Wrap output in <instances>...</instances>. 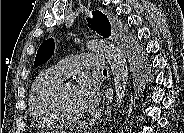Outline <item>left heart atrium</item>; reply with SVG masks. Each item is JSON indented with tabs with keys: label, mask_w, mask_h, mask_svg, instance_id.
Masks as SVG:
<instances>
[{
	"label": "left heart atrium",
	"mask_w": 184,
	"mask_h": 133,
	"mask_svg": "<svg viewBox=\"0 0 184 133\" xmlns=\"http://www.w3.org/2000/svg\"><path fill=\"white\" fill-rule=\"evenodd\" d=\"M76 99L84 111L95 109L99 103V91L90 79H83L75 88Z\"/></svg>",
	"instance_id": "obj_1"
}]
</instances>
